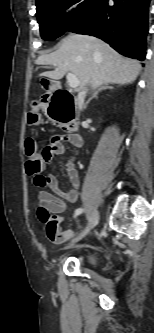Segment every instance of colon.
Wrapping results in <instances>:
<instances>
[{"label": "colon", "instance_id": "1", "mask_svg": "<svg viewBox=\"0 0 154 333\" xmlns=\"http://www.w3.org/2000/svg\"><path fill=\"white\" fill-rule=\"evenodd\" d=\"M60 98V95H55L53 97V101ZM40 107V103H35V110L29 114V123L35 125L39 121V116L37 113V109ZM60 126H62L65 130L70 131L65 120L57 121ZM25 157H26V171L30 175H34L40 172L42 167V159L39 151L37 150L36 142L32 138H27L25 140ZM58 219L54 216L52 218L47 219L44 224L46 227V232L50 240H57L59 238V228H58Z\"/></svg>", "mask_w": 154, "mask_h": 333}]
</instances>
